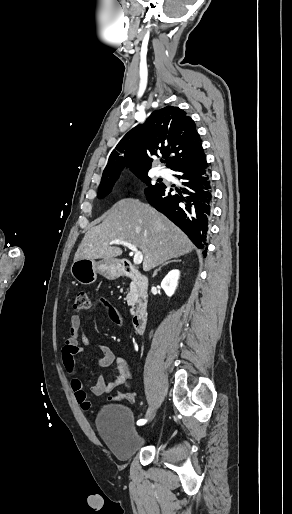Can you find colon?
I'll use <instances>...</instances> for the list:
<instances>
[{
  "label": "colon",
  "mask_w": 292,
  "mask_h": 514,
  "mask_svg": "<svg viewBox=\"0 0 292 514\" xmlns=\"http://www.w3.org/2000/svg\"><path fill=\"white\" fill-rule=\"evenodd\" d=\"M90 308L89 294L87 291H79L76 294V300L74 304V310L84 311ZM125 392H130V387H125ZM100 391V390H99Z\"/></svg>",
  "instance_id": "5ec220e1"
}]
</instances>
